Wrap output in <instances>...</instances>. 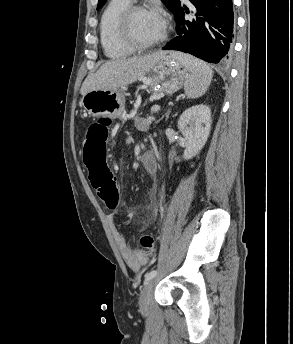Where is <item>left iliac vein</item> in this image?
Instances as JSON below:
<instances>
[{
  "mask_svg": "<svg viewBox=\"0 0 293 344\" xmlns=\"http://www.w3.org/2000/svg\"><path fill=\"white\" fill-rule=\"evenodd\" d=\"M154 281L150 280L143 287L139 297V307L142 313H146L149 308L151 295L153 292Z\"/></svg>",
  "mask_w": 293,
  "mask_h": 344,
  "instance_id": "4c4485c4",
  "label": "left iliac vein"
}]
</instances>
